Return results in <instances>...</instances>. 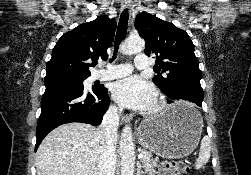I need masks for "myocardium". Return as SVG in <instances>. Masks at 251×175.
Segmentation results:
<instances>
[{
	"label": "myocardium",
	"instance_id": "myocardium-1",
	"mask_svg": "<svg viewBox=\"0 0 251 175\" xmlns=\"http://www.w3.org/2000/svg\"><path fill=\"white\" fill-rule=\"evenodd\" d=\"M163 108H164L163 105H158L156 110H157L158 112H161V111L163 110Z\"/></svg>",
	"mask_w": 251,
	"mask_h": 175
}]
</instances>
